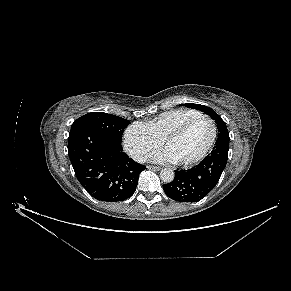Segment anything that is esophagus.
Segmentation results:
<instances>
[{"mask_svg":"<svg viewBox=\"0 0 291 291\" xmlns=\"http://www.w3.org/2000/svg\"><path fill=\"white\" fill-rule=\"evenodd\" d=\"M149 169H153V170H157L159 171L161 169V167H158V166H152V165H149L147 166Z\"/></svg>","mask_w":291,"mask_h":291,"instance_id":"obj_1","label":"esophagus"}]
</instances>
